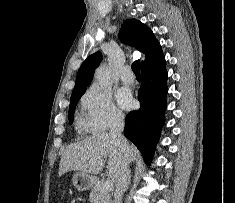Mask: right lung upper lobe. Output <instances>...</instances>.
Instances as JSON below:
<instances>
[{"instance_id": "cb5924a9", "label": "right lung upper lobe", "mask_w": 235, "mask_h": 203, "mask_svg": "<svg viewBox=\"0 0 235 203\" xmlns=\"http://www.w3.org/2000/svg\"><path fill=\"white\" fill-rule=\"evenodd\" d=\"M119 38L122 42L130 44L145 54L146 59L141 62V68L163 55L161 45L152 30L136 19H126L124 21L119 32ZM101 60V52H95L82 63L77 73L72 94L86 90Z\"/></svg>"}]
</instances>
